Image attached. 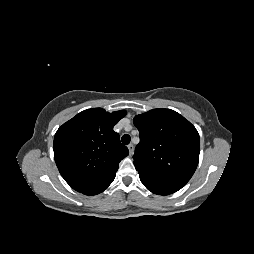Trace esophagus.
I'll return each instance as SVG.
<instances>
[{
    "mask_svg": "<svg viewBox=\"0 0 254 254\" xmlns=\"http://www.w3.org/2000/svg\"><path fill=\"white\" fill-rule=\"evenodd\" d=\"M128 150H129V154L133 155V153H134V146H133V144H129L128 145Z\"/></svg>",
    "mask_w": 254,
    "mask_h": 254,
    "instance_id": "esophagus-1",
    "label": "esophagus"
}]
</instances>
